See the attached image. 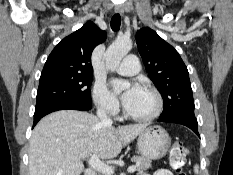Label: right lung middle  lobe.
<instances>
[{"instance_id": "obj_1", "label": "right lung middle lobe", "mask_w": 233, "mask_h": 175, "mask_svg": "<svg viewBox=\"0 0 233 175\" xmlns=\"http://www.w3.org/2000/svg\"><path fill=\"white\" fill-rule=\"evenodd\" d=\"M91 84L92 73L40 78L35 110L62 103L91 105Z\"/></svg>"}]
</instances>
